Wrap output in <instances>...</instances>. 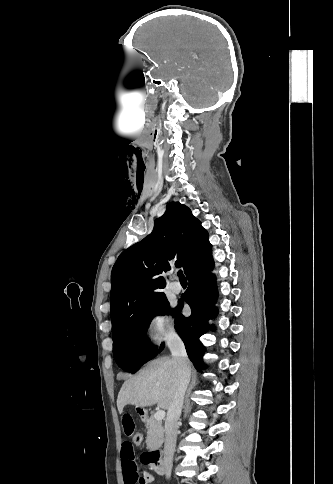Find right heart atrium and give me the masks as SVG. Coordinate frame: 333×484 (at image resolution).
Instances as JSON below:
<instances>
[{"instance_id": "1", "label": "right heart atrium", "mask_w": 333, "mask_h": 484, "mask_svg": "<svg viewBox=\"0 0 333 484\" xmlns=\"http://www.w3.org/2000/svg\"><path fill=\"white\" fill-rule=\"evenodd\" d=\"M147 333L149 339L156 344H163L175 335L174 323L165 310L153 313L147 321Z\"/></svg>"}]
</instances>
